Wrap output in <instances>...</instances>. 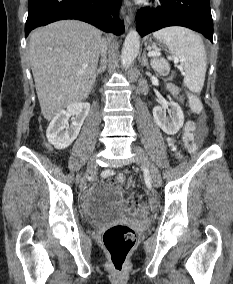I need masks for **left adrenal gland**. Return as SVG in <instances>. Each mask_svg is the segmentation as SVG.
<instances>
[{
  "mask_svg": "<svg viewBox=\"0 0 233 284\" xmlns=\"http://www.w3.org/2000/svg\"><path fill=\"white\" fill-rule=\"evenodd\" d=\"M141 64H142L143 66H146L147 69L150 68V67H149V63H148V59H147V57H146L145 52L143 53L142 60H141Z\"/></svg>",
  "mask_w": 233,
  "mask_h": 284,
  "instance_id": "left-adrenal-gland-1",
  "label": "left adrenal gland"
}]
</instances>
